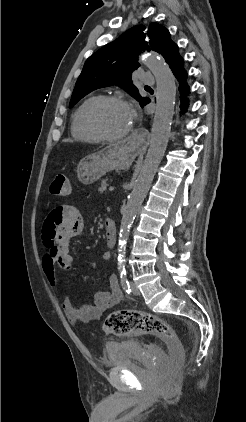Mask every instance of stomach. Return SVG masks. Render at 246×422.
<instances>
[{"label": "stomach", "instance_id": "stomach-1", "mask_svg": "<svg viewBox=\"0 0 246 422\" xmlns=\"http://www.w3.org/2000/svg\"><path fill=\"white\" fill-rule=\"evenodd\" d=\"M135 150L126 142L110 144L80 161L77 178L84 185H90L107 172L130 167Z\"/></svg>", "mask_w": 246, "mask_h": 422}]
</instances>
